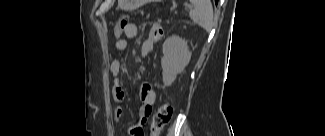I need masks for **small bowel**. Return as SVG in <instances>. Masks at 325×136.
<instances>
[{
	"label": "small bowel",
	"mask_w": 325,
	"mask_h": 136,
	"mask_svg": "<svg viewBox=\"0 0 325 136\" xmlns=\"http://www.w3.org/2000/svg\"><path fill=\"white\" fill-rule=\"evenodd\" d=\"M138 28L136 24L129 22L120 34H115L114 47L116 51L122 52L126 50L128 41L137 36ZM163 36V29L160 25H155L150 29L148 36L140 46V53L143 56H148L152 50L153 45L158 42ZM111 73L117 77L122 71V62L114 59L110 64ZM114 99L118 104H121L125 99V91L121 84L116 80L113 88ZM138 98L140 102L138 120L132 124L128 132L132 136H145L144 126L147 124L152 106L155 101V94L152 87L148 84H142L139 88ZM122 116V107L115 108V121L119 123Z\"/></svg>",
	"instance_id": "obj_1"
}]
</instances>
